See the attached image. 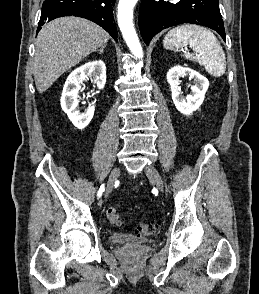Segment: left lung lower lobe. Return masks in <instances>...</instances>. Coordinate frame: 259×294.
I'll list each match as a JSON object with an SVG mask.
<instances>
[{
    "label": "left lung lower lobe",
    "instance_id": "0a47b994",
    "mask_svg": "<svg viewBox=\"0 0 259 294\" xmlns=\"http://www.w3.org/2000/svg\"><path fill=\"white\" fill-rule=\"evenodd\" d=\"M182 23L209 27L225 40L218 0H142L139 28L147 45L163 29Z\"/></svg>",
    "mask_w": 259,
    "mask_h": 294
}]
</instances>
